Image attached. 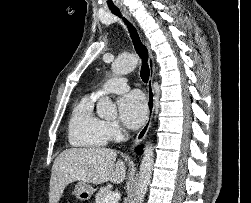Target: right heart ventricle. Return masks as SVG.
<instances>
[{
    "instance_id": "e07e8e85",
    "label": "right heart ventricle",
    "mask_w": 251,
    "mask_h": 203,
    "mask_svg": "<svg viewBox=\"0 0 251 203\" xmlns=\"http://www.w3.org/2000/svg\"><path fill=\"white\" fill-rule=\"evenodd\" d=\"M95 99L93 95L83 97L72 111L68 136L73 146L99 148L108 141L104 121L93 112Z\"/></svg>"
}]
</instances>
